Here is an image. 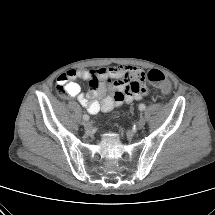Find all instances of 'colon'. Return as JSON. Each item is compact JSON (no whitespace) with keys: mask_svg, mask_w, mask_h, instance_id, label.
<instances>
[{"mask_svg":"<svg viewBox=\"0 0 215 215\" xmlns=\"http://www.w3.org/2000/svg\"><path fill=\"white\" fill-rule=\"evenodd\" d=\"M147 80L153 85L159 87L162 91L167 92L170 89V84L166 76L157 69L150 70L146 75ZM135 90L138 89L137 86L133 87ZM57 92L59 95L64 96L66 94L65 88L63 85H57Z\"/></svg>","mask_w":215,"mask_h":215,"instance_id":"1","label":"colon"}]
</instances>
